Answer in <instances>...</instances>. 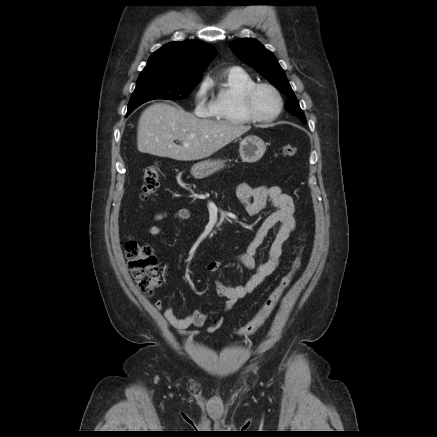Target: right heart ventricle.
Wrapping results in <instances>:
<instances>
[{
    "instance_id": "e07e8e85",
    "label": "right heart ventricle",
    "mask_w": 437,
    "mask_h": 437,
    "mask_svg": "<svg viewBox=\"0 0 437 437\" xmlns=\"http://www.w3.org/2000/svg\"><path fill=\"white\" fill-rule=\"evenodd\" d=\"M253 78L241 68H230L219 78L213 99V116L230 124H247L252 120L243 108V94L254 84Z\"/></svg>"
}]
</instances>
